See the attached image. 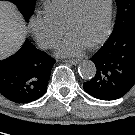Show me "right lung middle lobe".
Wrapping results in <instances>:
<instances>
[{
	"label": "right lung middle lobe",
	"mask_w": 135,
	"mask_h": 135,
	"mask_svg": "<svg viewBox=\"0 0 135 135\" xmlns=\"http://www.w3.org/2000/svg\"><path fill=\"white\" fill-rule=\"evenodd\" d=\"M15 3L20 11L28 18L32 15L36 0H9Z\"/></svg>",
	"instance_id": "1"
}]
</instances>
